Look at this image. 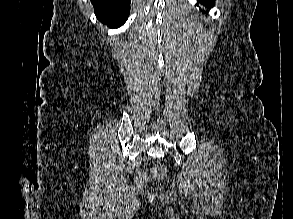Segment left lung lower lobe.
Segmentation results:
<instances>
[{"instance_id": "left-lung-lower-lobe-1", "label": "left lung lower lobe", "mask_w": 293, "mask_h": 219, "mask_svg": "<svg viewBox=\"0 0 293 219\" xmlns=\"http://www.w3.org/2000/svg\"><path fill=\"white\" fill-rule=\"evenodd\" d=\"M205 7H212L214 5L215 0H198Z\"/></svg>"}]
</instances>
